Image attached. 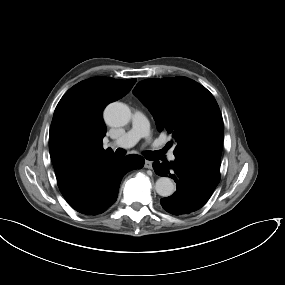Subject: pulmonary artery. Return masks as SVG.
<instances>
[{"instance_id": "1", "label": "pulmonary artery", "mask_w": 285, "mask_h": 285, "mask_svg": "<svg viewBox=\"0 0 285 285\" xmlns=\"http://www.w3.org/2000/svg\"><path fill=\"white\" fill-rule=\"evenodd\" d=\"M150 131L148 122L143 114L140 112H135L132 117V126L128 132L123 134L119 139L110 142L109 147H132L134 146L141 138L149 137ZM168 159L174 161L175 157L173 152H169Z\"/></svg>"}]
</instances>
